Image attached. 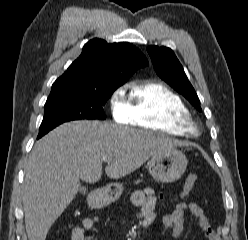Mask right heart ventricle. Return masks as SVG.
I'll return each mask as SVG.
<instances>
[{
	"instance_id": "obj_1",
	"label": "right heart ventricle",
	"mask_w": 248,
	"mask_h": 240,
	"mask_svg": "<svg viewBox=\"0 0 248 240\" xmlns=\"http://www.w3.org/2000/svg\"><path fill=\"white\" fill-rule=\"evenodd\" d=\"M128 105L130 124L142 129L186 137L189 129L179 123L191 120L182 98L166 85L157 81H144L131 87Z\"/></svg>"
}]
</instances>
